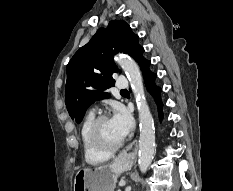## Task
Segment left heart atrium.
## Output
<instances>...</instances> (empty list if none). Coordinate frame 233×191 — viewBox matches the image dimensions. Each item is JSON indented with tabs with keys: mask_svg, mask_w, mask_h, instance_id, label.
Segmentation results:
<instances>
[{
	"mask_svg": "<svg viewBox=\"0 0 233 191\" xmlns=\"http://www.w3.org/2000/svg\"><path fill=\"white\" fill-rule=\"evenodd\" d=\"M110 120L121 139H124L132 129V118L123 108H118Z\"/></svg>",
	"mask_w": 233,
	"mask_h": 191,
	"instance_id": "obj_1",
	"label": "left heart atrium"
}]
</instances>
